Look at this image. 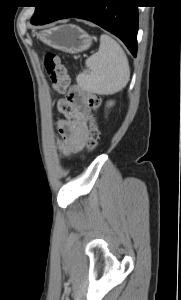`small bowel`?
Returning a JSON list of instances; mask_svg holds the SVG:
<instances>
[{"instance_id": "obj_1", "label": "small bowel", "mask_w": 181, "mask_h": 300, "mask_svg": "<svg viewBox=\"0 0 181 300\" xmlns=\"http://www.w3.org/2000/svg\"><path fill=\"white\" fill-rule=\"evenodd\" d=\"M66 102L67 99H61L58 102V109L60 110L62 104ZM87 113L88 108L84 103H82L79 107L74 109L71 117L59 120L58 129L61 136L59 140V149L65 155L76 153L83 146L87 126Z\"/></svg>"}]
</instances>
